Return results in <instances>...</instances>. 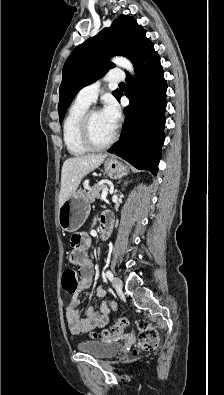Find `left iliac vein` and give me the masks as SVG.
I'll use <instances>...</instances> for the list:
<instances>
[{"label":"left iliac vein","mask_w":224,"mask_h":395,"mask_svg":"<svg viewBox=\"0 0 224 395\" xmlns=\"http://www.w3.org/2000/svg\"><path fill=\"white\" fill-rule=\"evenodd\" d=\"M112 286H113L116 290L120 291V290L122 289V287H123V284H122L121 279L118 278V277L113 278V280H112Z\"/></svg>","instance_id":"1"}]
</instances>
